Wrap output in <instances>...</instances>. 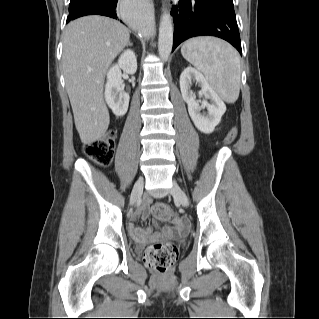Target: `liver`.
I'll use <instances>...</instances> for the list:
<instances>
[{"mask_svg": "<svg viewBox=\"0 0 319 319\" xmlns=\"http://www.w3.org/2000/svg\"><path fill=\"white\" fill-rule=\"evenodd\" d=\"M129 39V30L123 24L104 16L81 17L66 27L63 72L83 144L99 140L108 129L110 117L103 97L105 74Z\"/></svg>", "mask_w": 319, "mask_h": 319, "instance_id": "1", "label": "liver"}]
</instances>
